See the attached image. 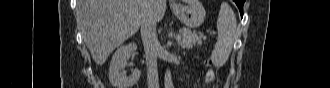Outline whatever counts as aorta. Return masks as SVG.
<instances>
[{
    "label": "aorta",
    "mask_w": 330,
    "mask_h": 88,
    "mask_svg": "<svg viewBox=\"0 0 330 88\" xmlns=\"http://www.w3.org/2000/svg\"><path fill=\"white\" fill-rule=\"evenodd\" d=\"M164 86L165 88H173V81H172L170 69H167L165 72Z\"/></svg>",
    "instance_id": "obj_1"
}]
</instances>
